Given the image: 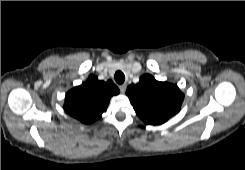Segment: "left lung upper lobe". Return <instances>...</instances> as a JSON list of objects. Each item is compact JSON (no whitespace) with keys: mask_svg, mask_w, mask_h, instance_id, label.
Wrapping results in <instances>:
<instances>
[{"mask_svg":"<svg viewBox=\"0 0 245 170\" xmlns=\"http://www.w3.org/2000/svg\"><path fill=\"white\" fill-rule=\"evenodd\" d=\"M136 114L146 123L159 125L179 112L184 94L177 85L159 82L149 74L126 91Z\"/></svg>","mask_w":245,"mask_h":170,"instance_id":"left-lung-upper-lobe-1","label":"left lung upper lobe"}]
</instances>
